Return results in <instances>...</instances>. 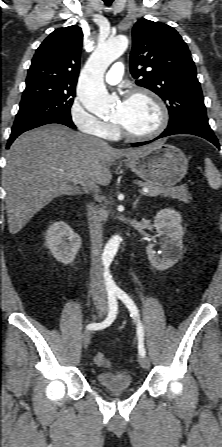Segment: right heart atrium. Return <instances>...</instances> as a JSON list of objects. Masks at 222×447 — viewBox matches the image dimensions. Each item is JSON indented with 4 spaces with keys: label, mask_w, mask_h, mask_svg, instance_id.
I'll return each instance as SVG.
<instances>
[{
    "label": "right heart atrium",
    "mask_w": 222,
    "mask_h": 447,
    "mask_svg": "<svg viewBox=\"0 0 222 447\" xmlns=\"http://www.w3.org/2000/svg\"><path fill=\"white\" fill-rule=\"evenodd\" d=\"M70 118L81 132L100 137H105L114 128L112 123L104 122L87 111L83 97H80L72 105Z\"/></svg>",
    "instance_id": "1"
}]
</instances>
